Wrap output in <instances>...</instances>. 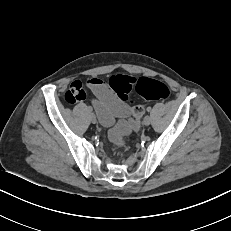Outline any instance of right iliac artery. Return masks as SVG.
<instances>
[{
  "label": "right iliac artery",
  "mask_w": 231,
  "mask_h": 231,
  "mask_svg": "<svg viewBox=\"0 0 231 231\" xmlns=\"http://www.w3.org/2000/svg\"><path fill=\"white\" fill-rule=\"evenodd\" d=\"M88 111H89V112H92V108H91V107H88Z\"/></svg>",
  "instance_id": "obj_1"
}]
</instances>
